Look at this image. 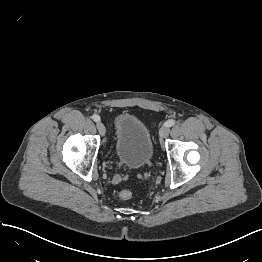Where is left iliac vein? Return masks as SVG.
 <instances>
[{"label":"left iliac vein","instance_id":"left-iliac-vein-1","mask_svg":"<svg viewBox=\"0 0 262 262\" xmlns=\"http://www.w3.org/2000/svg\"><path fill=\"white\" fill-rule=\"evenodd\" d=\"M169 132H170V129H169L168 126H165V125L162 126L160 131H159L160 139L163 140L164 138H166L168 136Z\"/></svg>","mask_w":262,"mask_h":262}]
</instances>
